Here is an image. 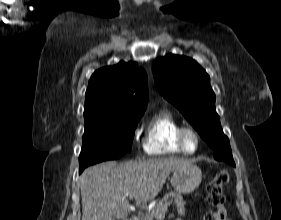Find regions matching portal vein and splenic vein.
I'll return each instance as SVG.
<instances>
[{
    "label": "portal vein and splenic vein",
    "instance_id": "18ae733b",
    "mask_svg": "<svg viewBox=\"0 0 281 220\" xmlns=\"http://www.w3.org/2000/svg\"><path fill=\"white\" fill-rule=\"evenodd\" d=\"M125 195L133 198L135 196V192H127ZM171 202L172 201H167L163 205L162 211L157 214L160 218L165 216V213L167 212L168 207L171 205Z\"/></svg>",
    "mask_w": 281,
    "mask_h": 220
}]
</instances>
